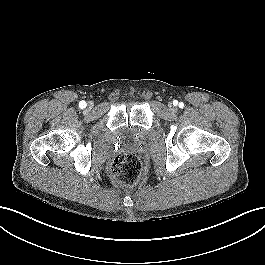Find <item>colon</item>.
<instances>
[{
	"mask_svg": "<svg viewBox=\"0 0 265 265\" xmlns=\"http://www.w3.org/2000/svg\"><path fill=\"white\" fill-rule=\"evenodd\" d=\"M109 171L112 179L117 183L133 185L139 180L142 167L135 153L124 151L113 159Z\"/></svg>",
	"mask_w": 265,
	"mask_h": 265,
	"instance_id": "5ec220e1",
	"label": "colon"
}]
</instances>
